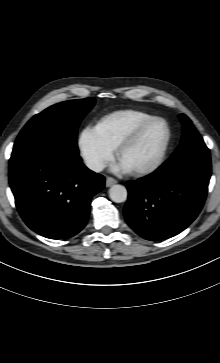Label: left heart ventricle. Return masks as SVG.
I'll return each mask as SVG.
<instances>
[{
  "instance_id": "left-heart-ventricle-1",
  "label": "left heart ventricle",
  "mask_w": 220,
  "mask_h": 363,
  "mask_svg": "<svg viewBox=\"0 0 220 363\" xmlns=\"http://www.w3.org/2000/svg\"><path fill=\"white\" fill-rule=\"evenodd\" d=\"M166 139V127L157 122L148 127L130 147L124 150L119 160L130 170L151 164L158 156Z\"/></svg>"
}]
</instances>
